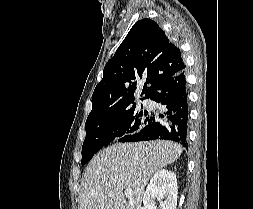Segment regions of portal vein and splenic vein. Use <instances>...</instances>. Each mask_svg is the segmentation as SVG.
Masks as SVG:
<instances>
[{"label": "portal vein and splenic vein", "mask_w": 253, "mask_h": 209, "mask_svg": "<svg viewBox=\"0 0 253 209\" xmlns=\"http://www.w3.org/2000/svg\"><path fill=\"white\" fill-rule=\"evenodd\" d=\"M132 194H133V191H132L131 188H127V189L125 190V196H126L127 198H131V197H132Z\"/></svg>", "instance_id": "1"}]
</instances>
